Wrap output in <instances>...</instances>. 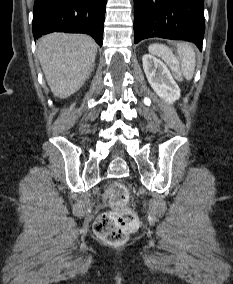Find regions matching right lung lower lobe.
<instances>
[{
  "mask_svg": "<svg viewBox=\"0 0 233 284\" xmlns=\"http://www.w3.org/2000/svg\"><path fill=\"white\" fill-rule=\"evenodd\" d=\"M107 0H35L34 38L50 32L86 33L102 45Z\"/></svg>",
  "mask_w": 233,
  "mask_h": 284,
  "instance_id": "obj_1",
  "label": "right lung lower lobe"
}]
</instances>
